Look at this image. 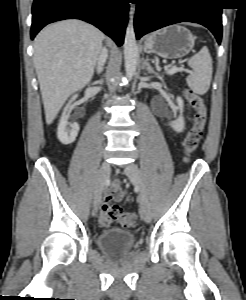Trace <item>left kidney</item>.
Listing matches in <instances>:
<instances>
[{"label":"left kidney","instance_id":"obj_1","mask_svg":"<svg viewBox=\"0 0 246 300\" xmlns=\"http://www.w3.org/2000/svg\"><path fill=\"white\" fill-rule=\"evenodd\" d=\"M177 103H178V106H179V110H180V117L175 120V121H171L169 123V125L171 126V128H173V130H175L176 132H182L184 130V119L182 117V111H183V100L181 97H178L177 98Z\"/></svg>","mask_w":246,"mask_h":300}]
</instances>
